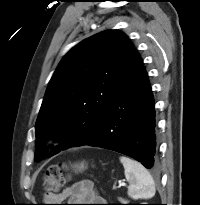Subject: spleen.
<instances>
[{"mask_svg": "<svg viewBox=\"0 0 200 205\" xmlns=\"http://www.w3.org/2000/svg\"><path fill=\"white\" fill-rule=\"evenodd\" d=\"M125 177L129 182L128 195L133 199H148L155 195V183L148 170L139 162L121 156Z\"/></svg>", "mask_w": 200, "mask_h": 205, "instance_id": "obj_1", "label": "spleen"}]
</instances>
